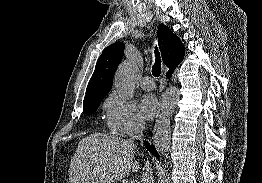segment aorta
Segmentation results:
<instances>
[{"label":"aorta","mask_w":262,"mask_h":183,"mask_svg":"<svg viewBox=\"0 0 262 183\" xmlns=\"http://www.w3.org/2000/svg\"><path fill=\"white\" fill-rule=\"evenodd\" d=\"M136 65L125 61L117 69L114 77V86L122 99L129 100L134 95V75ZM180 93L176 87H170L161 96L156 114L153 131V142L157 151L164 154L170 147L171 129L170 120L179 101Z\"/></svg>","instance_id":"aorta-1"}]
</instances>
